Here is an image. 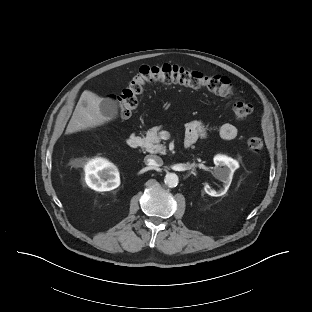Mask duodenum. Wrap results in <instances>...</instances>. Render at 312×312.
Returning <instances> with one entry per match:
<instances>
[{
	"label": "duodenum",
	"mask_w": 312,
	"mask_h": 312,
	"mask_svg": "<svg viewBox=\"0 0 312 312\" xmlns=\"http://www.w3.org/2000/svg\"><path fill=\"white\" fill-rule=\"evenodd\" d=\"M127 145L128 147L132 148V149H136L138 147H140L141 143H142V140L139 136L137 135H130L128 138H127ZM189 144L186 143L185 144V147L186 148H189Z\"/></svg>",
	"instance_id": "obj_1"
}]
</instances>
